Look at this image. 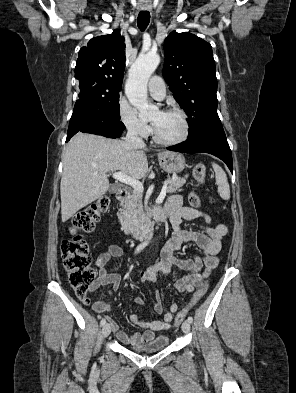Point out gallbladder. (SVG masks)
<instances>
[{
	"mask_svg": "<svg viewBox=\"0 0 296 393\" xmlns=\"http://www.w3.org/2000/svg\"><path fill=\"white\" fill-rule=\"evenodd\" d=\"M118 190V187L116 185H111L109 188L110 193H116Z\"/></svg>",
	"mask_w": 296,
	"mask_h": 393,
	"instance_id": "gallbladder-1",
	"label": "gallbladder"
}]
</instances>
